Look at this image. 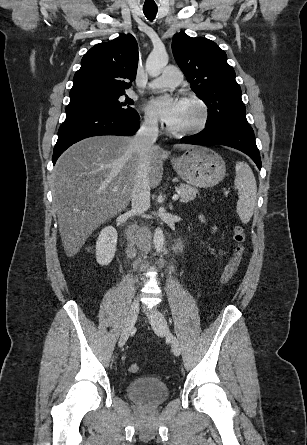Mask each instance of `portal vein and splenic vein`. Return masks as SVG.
<instances>
[{
	"label": "portal vein and splenic vein",
	"mask_w": 307,
	"mask_h": 445,
	"mask_svg": "<svg viewBox=\"0 0 307 445\" xmlns=\"http://www.w3.org/2000/svg\"><path fill=\"white\" fill-rule=\"evenodd\" d=\"M113 190H117V188H113ZM179 194H173V200H178Z\"/></svg>",
	"instance_id": "obj_1"
}]
</instances>
